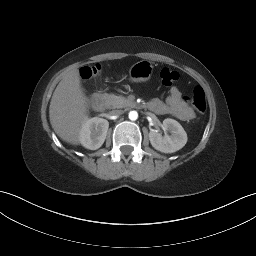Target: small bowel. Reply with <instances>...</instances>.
<instances>
[{"instance_id":"obj_1","label":"small bowel","mask_w":256,"mask_h":256,"mask_svg":"<svg viewBox=\"0 0 256 256\" xmlns=\"http://www.w3.org/2000/svg\"><path fill=\"white\" fill-rule=\"evenodd\" d=\"M147 107L160 115H172L179 120L189 121L195 116L194 111L187 105L177 87H172L166 102L153 99L148 102Z\"/></svg>"}]
</instances>
